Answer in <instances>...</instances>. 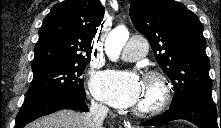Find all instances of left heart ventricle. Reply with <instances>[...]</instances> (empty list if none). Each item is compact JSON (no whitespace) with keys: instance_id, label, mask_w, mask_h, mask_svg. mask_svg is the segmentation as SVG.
Instances as JSON below:
<instances>
[{"instance_id":"left-heart-ventricle-1","label":"left heart ventricle","mask_w":221,"mask_h":128,"mask_svg":"<svg viewBox=\"0 0 221 128\" xmlns=\"http://www.w3.org/2000/svg\"><path fill=\"white\" fill-rule=\"evenodd\" d=\"M154 95H155L154 87L152 85L145 83L143 85L141 95L137 103L135 104V107H144L149 105L152 102Z\"/></svg>"}]
</instances>
